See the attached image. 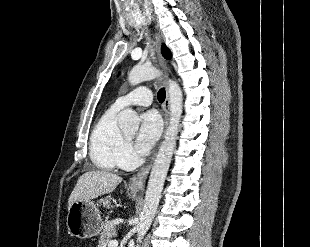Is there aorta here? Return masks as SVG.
<instances>
[{
    "label": "aorta",
    "instance_id": "1",
    "mask_svg": "<svg viewBox=\"0 0 310 247\" xmlns=\"http://www.w3.org/2000/svg\"><path fill=\"white\" fill-rule=\"evenodd\" d=\"M160 76L161 72L153 66H135L129 73L128 81L131 85H137L143 81L153 80ZM168 94L170 102L169 125L150 173L144 207L140 216V222L137 225L138 242H141L147 233L156 214L176 145L182 115L183 94L179 85L173 80L168 81ZM118 125L123 131L136 132L139 128V117L134 110L125 109L119 115Z\"/></svg>",
    "mask_w": 310,
    "mask_h": 247
}]
</instances>
